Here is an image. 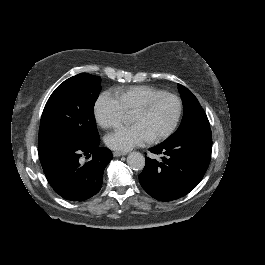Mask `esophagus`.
<instances>
[{
  "mask_svg": "<svg viewBox=\"0 0 265 265\" xmlns=\"http://www.w3.org/2000/svg\"><path fill=\"white\" fill-rule=\"evenodd\" d=\"M113 155H114L115 157H119V156H124V155H126V153H125V152H122V151H114V152H113Z\"/></svg>",
  "mask_w": 265,
  "mask_h": 265,
  "instance_id": "esophagus-1",
  "label": "esophagus"
}]
</instances>
